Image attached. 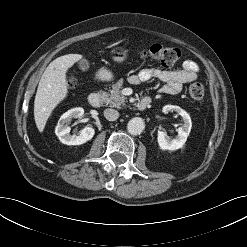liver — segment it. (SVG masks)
<instances>
[{
    "instance_id": "obj_1",
    "label": "liver",
    "mask_w": 247,
    "mask_h": 247,
    "mask_svg": "<svg viewBox=\"0 0 247 247\" xmlns=\"http://www.w3.org/2000/svg\"><path fill=\"white\" fill-rule=\"evenodd\" d=\"M81 59V54H67L53 60L45 69L34 100V119L39 132H43L54 108L67 97L66 73Z\"/></svg>"
}]
</instances>
